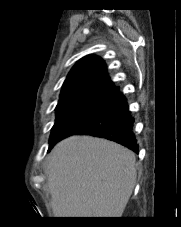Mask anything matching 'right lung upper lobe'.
<instances>
[{
  "label": "right lung upper lobe",
  "mask_w": 181,
  "mask_h": 227,
  "mask_svg": "<svg viewBox=\"0 0 181 227\" xmlns=\"http://www.w3.org/2000/svg\"><path fill=\"white\" fill-rule=\"evenodd\" d=\"M115 89L104 61L95 55H88L80 59L71 69L63 84L60 98L95 92H113Z\"/></svg>",
  "instance_id": "right-lung-upper-lobe-1"
}]
</instances>
